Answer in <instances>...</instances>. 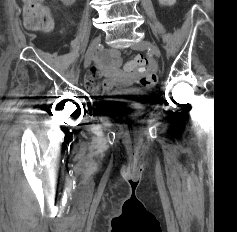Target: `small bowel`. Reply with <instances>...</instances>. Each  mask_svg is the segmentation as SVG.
<instances>
[{
  "instance_id": "1",
  "label": "small bowel",
  "mask_w": 237,
  "mask_h": 232,
  "mask_svg": "<svg viewBox=\"0 0 237 232\" xmlns=\"http://www.w3.org/2000/svg\"><path fill=\"white\" fill-rule=\"evenodd\" d=\"M122 65V57L117 49H109L97 58L96 65L92 67L85 77V86L96 96L106 95L113 96L116 91H121L125 87L124 84H116L111 78L97 83L99 77H109L116 75ZM118 87V89H116Z\"/></svg>"
}]
</instances>
